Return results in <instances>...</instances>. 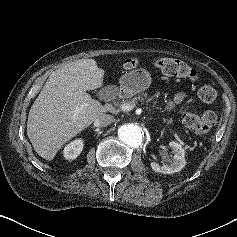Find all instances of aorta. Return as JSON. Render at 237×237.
<instances>
[{"mask_svg":"<svg viewBox=\"0 0 237 237\" xmlns=\"http://www.w3.org/2000/svg\"><path fill=\"white\" fill-rule=\"evenodd\" d=\"M118 137L131 147H138L142 143V129L133 123H128L118 128Z\"/></svg>","mask_w":237,"mask_h":237,"instance_id":"obj_1","label":"aorta"}]
</instances>
